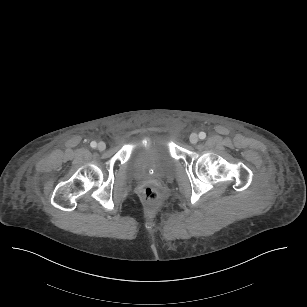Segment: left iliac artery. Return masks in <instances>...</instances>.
<instances>
[{"label":"left iliac artery","instance_id":"left-iliac-artery-1","mask_svg":"<svg viewBox=\"0 0 307 307\" xmlns=\"http://www.w3.org/2000/svg\"><path fill=\"white\" fill-rule=\"evenodd\" d=\"M199 138L200 139H205L206 138V133L205 132H200L199 133Z\"/></svg>","mask_w":307,"mask_h":307}]
</instances>
